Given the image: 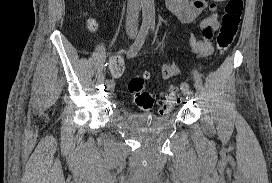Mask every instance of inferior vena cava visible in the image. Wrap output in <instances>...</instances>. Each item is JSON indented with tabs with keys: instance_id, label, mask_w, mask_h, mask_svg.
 I'll return each mask as SVG.
<instances>
[{
	"instance_id": "1",
	"label": "inferior vena cava",
	"mask_w": 272,
	"mask_h": 183,
	"mask_svg": "<svg viewBox=\"0 0 272 183\" xmlns=\"http://www.w3.org/2000/svg\"><path fill=\"white\" fill-rule=\"evenodd\" d=\"M140 9H141V0H128L127 14H126L127 31L137 30Z\"/></svg>"
}]
</instances>
